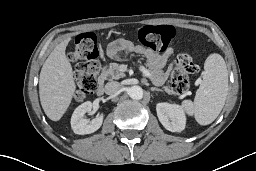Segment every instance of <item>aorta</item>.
I'll list each match as a JSON object with an SVG mask.
<instances>
[{
  "mask_svg": "<svg viewBox=\"0 0 256 171\" xmlns=\"http://www.w3.org/2000/svg\"><path fill=\"white\" fill-rule=\"evenodd\" d=\"M130 98L140 100L143 98V89L140 86H132L128 90Z\"/></svg>",
  "mask_w": 256,
  "mask_h": 171,
  "instance_id": "1",
  "label": "aorta"
}]
</instances>
